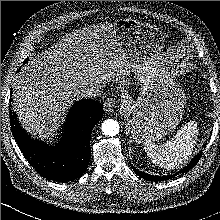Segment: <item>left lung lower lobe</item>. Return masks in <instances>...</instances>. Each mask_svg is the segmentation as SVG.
I'll return each mask as SVG.
<instances>
[{"mask_svg": "<svg viewBox=\"0 0 220 220\" xmlns=\"http://www.w3.org/2000/svg\"><path fill=\"white\" fill-rule=\"evenodd\" d=\"M204 147H205V145H204ZM200 157H201V154H197L186 167H184L182 170H180L176 174L184 173V172L192 169L196 165V163L198 162ZM133 169H134L135 173L137 175H139L141 178L146 179V180H150V181H163V180L171 178V176H162V177H160V176H153V175H150V174L143 173V172L137 170L134 167H133Z\"/></svg>", "mask_w": 220, "mask_h": 220, "instance_id": "left-lung-lower-lobe-1", "label": "left lung lower lobe"}]
</instances>
